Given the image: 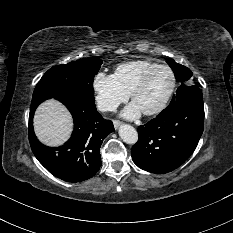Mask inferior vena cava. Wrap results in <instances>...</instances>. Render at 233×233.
<instances>
[{
  "label": "inferior vena cava",
  "mask_w": 233,
  "mask_h": 233,
  "mask_svg": "<svg viewBox=\"0 0 233 233\" xmlns=\"http://www.w3.org/2000/svg\"><path fill=\"white\" fill-rule=\"evenodd\" d=\"M117 107H118V105L115 104V103H110V102H100V103H98V109L100 111L115 112Z\"/></svg>",
  "instance_id": "obj_1"
}]
</instances>
